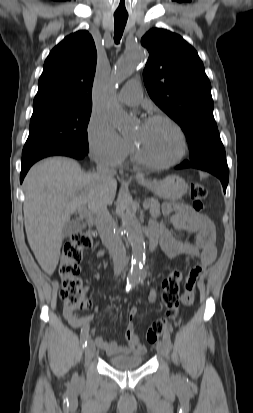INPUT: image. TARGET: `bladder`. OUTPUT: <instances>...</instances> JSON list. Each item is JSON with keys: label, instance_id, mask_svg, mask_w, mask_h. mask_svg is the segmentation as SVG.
Masks as SVG:
<instances>
[{"label": "bladder", "instance_id": "1", "mask_svg": "<svg viewBox=\"0 0 253 413\" xmlns=\"http://www.w3.org/2000/svg\"><path fill=\"white\" fill-rule=\"evenodd\" d=\"M144 359L140 355H119L110 357L108 363L119 370H129L141 366Z\"/></svg>", "mask_w": 253, "mask_h": 413}]
</instances>
